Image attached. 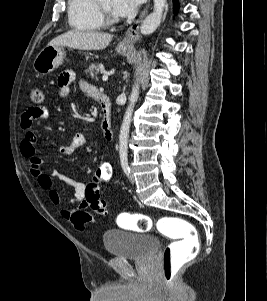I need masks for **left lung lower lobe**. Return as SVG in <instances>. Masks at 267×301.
<instances>
[{
	"mask_svg": "<svg viewBox=\"0 0 267 301\" xmlns=\"http://www.w3.org/2000/svg\"><path fill=\"white\" fill-rule=\"evenodd\" d=\"M174 1H175V6H176V8H178V4H177L176 0H174Z\"/></svg>",
	"mask_w": 267,
	"mask_h": 301,
	"instance_id": "obj_1",
	"label": "left lung lower lobe"
}]
</instances>
